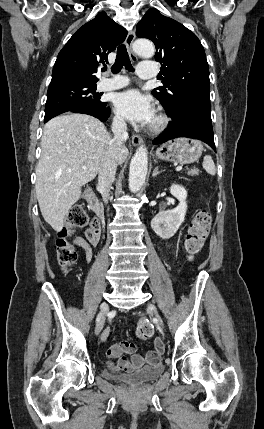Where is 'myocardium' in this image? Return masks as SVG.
<instances>
[{
    "label": "myocardium",
    "instance_id": "myocardium-1",
    "mask_svg": "<svg viewBox=\"0 0 264 429\" xmlns=\"http://www.w3.org/2000/svg\"><path fill=\"white\" fill-rule=\"evenodd\" d=\"M167 124L168 118L164 114H158L149 125V131L151 133H159L165 129Z\"/></svg>",
    "mask_w": 264,
    "mask_h": 429
}]
</instances>
